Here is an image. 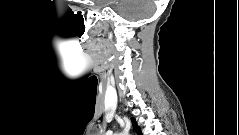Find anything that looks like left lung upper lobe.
Segmentation results:
<instances>
[{"label": "left lung upper lobe", "mask_w": 239, "mask_h": 135, "mask_svg": "<svg viewBox=\"0 0 239 135\" xmlns=\"http://www.w3.org/2000/svg\"><path fill=\"white\" fill-rule=\"evenodd\" d=\"M132 124H133L135 132L138 133L139 135H142L140 128L137 126V123L134 118H132Z\"/></svg>", "instance_id": "1"}]
</instances>
